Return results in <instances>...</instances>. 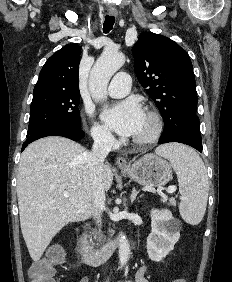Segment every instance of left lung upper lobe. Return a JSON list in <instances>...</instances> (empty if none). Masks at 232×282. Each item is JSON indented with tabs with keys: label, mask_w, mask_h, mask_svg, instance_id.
I'll list each match as a JSON object with an SVG mask.
<instances>
[{
	"label": "left lung upper lobe",
	"mask_w": 232,
	"mask_h": 282,
	"mask_svg": "<svg viewBox=\"0 0 232 282\" xmlns=\"http://www.w3.org/2000/svg\"><path fill=\"white\" fill-rule=\"evenodd\" d=\"M134 69L164 122L180 112L196 115L197 92L188 53L171 39L142 33L133 47Z\"/></svg>",
	"instance_id": "left-lung-upper-lobe-1"
}]
</instances>
